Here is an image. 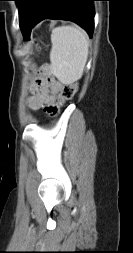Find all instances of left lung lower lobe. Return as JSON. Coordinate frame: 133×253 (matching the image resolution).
<instances>
[{"label": "left lung lower lobe", "mask_w": 133, "mask_h": 253, "mask_svg": "<svg viewBox=\"0 0 133 253\" xmlns=\"http://www.w3.org/2000/svg\"><path fill=\"white\" fill-rule=\"evenodd\" d=\"M97 0H24L19 8V23L28 40L32 27L43 19H62L77 23L92 36L93 2Z\"/></svg>", "instance_id": "1"}]
</instances>
